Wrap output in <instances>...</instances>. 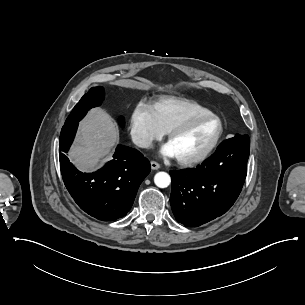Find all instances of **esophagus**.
I'll use <instances>...</instances> for the list:
<instances>
[{"instance_id": "esophagus-1", "label": "esophagus", "mask_w": 305, "mask_h": 305, "mask_svg": "<svg viewBox=\"0 0 305 305\" xmlns=\"http://www.w3.org/2000/svg\"><path fill=\"white\" fill-rule=\"evenodd\" d=\"M151 168H152L153 170H157V169L160 168V164L157 163V162H155V161H151Z\"/></svg>"}]
</instances>
